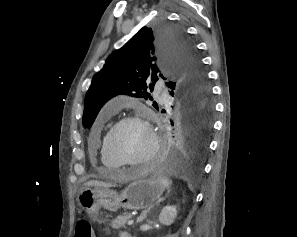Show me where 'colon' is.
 Returning a JSON list of instances; mask_svg holds the SVG:
<instances>
[{
  "mask_svg": "<svg viewBox=\"0 0 297 237\" xmlns=\"http://www.w3.org/2000/svg\"><path fill=\"white\" fill-rule=\"evenodd\" d=\"M75 237H94L91 224L87 220H79L75 227Z\"/></svg>",
  "mask_w": 297,
  "mask_h": 237,
  "instance_id": "colon-1",
  "label": "colon"
}]
</instances>
